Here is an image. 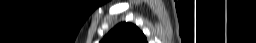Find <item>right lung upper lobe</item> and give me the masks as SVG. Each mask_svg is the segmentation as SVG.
I'll use <instances>...</instances> for the list:
<instances>
[{"label": "right lung upper lobe", "instance_id": "obj_1", "mask_svg": "<svg viewBox=\"0 0 256 43\" xmlns=\"http://www.w3.org/2000/svg\"><path fill=\"white\" fill-rule=\"evenodd\" d=\"M100 43H147L145 35L131 23H120Z\"/></svg>", "mask_w": 256, "mask_h": 43}]
</instances>
